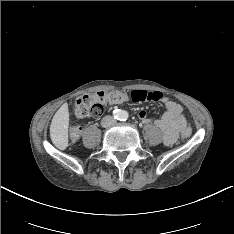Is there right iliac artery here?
Listing matches in <instances>:
<instances>
[{"label":"right iliac artery","mask_w":234,"mask_h":234,"mask_svg":"<svg viewBox=\"0 0 234 234\" xmlns=\"http://www.w3.org/2000/svg\"><path fill=\"white\" fill-rule=\"evenodd\" d=\"M113 113H114L115 118H118L119 116L118 110H114Z\"/></svg>","instance_id":"82829eb1"}]
</instances>
